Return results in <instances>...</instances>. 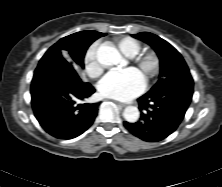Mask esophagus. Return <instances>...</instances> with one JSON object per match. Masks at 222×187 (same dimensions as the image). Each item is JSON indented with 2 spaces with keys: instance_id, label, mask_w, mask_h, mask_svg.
I'll use <instances>...</instances> for the list:
<instances>
[{
  "instance_id": "1",
  "label": "esophagus",
  "mask_w": 222,
  "mask_h": 187,
  "mask_svg": "<svg viewBox=\"0 0 222 187\" xmlns=\"http://www.w3.org/2000/svg\"><path fill=\"white\" fill-rule=\"evenodd\" d=\"M117 105H119V106H121V107H125L126 106V104H124V103H120V102H118V101H114Z\"/></svg>"
}]
</instances>
